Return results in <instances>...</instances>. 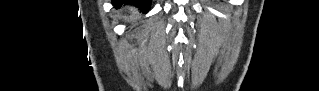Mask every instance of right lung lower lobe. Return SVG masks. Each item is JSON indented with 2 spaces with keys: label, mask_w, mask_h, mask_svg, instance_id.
<instances>
[{
  "label": "right lung lower lobe",
  "mask_w": 319,
  "mask_h": 91,
  "mask_svg": "<svg viewBox=\"0 0 319 91\" xmlns=\"http://www.w3.org/2000/svg\"><path fill=\"white\" fill-rule=\"evenodd\" d=\"M112 3L114 6L119 7L123 3H130L132 5H135L136 7L142 9V11L148 12L151 5V0H112Z\"/></svg>",
  "instance_id": "right-lung-lower-lobe-1"
}]
</instances>
